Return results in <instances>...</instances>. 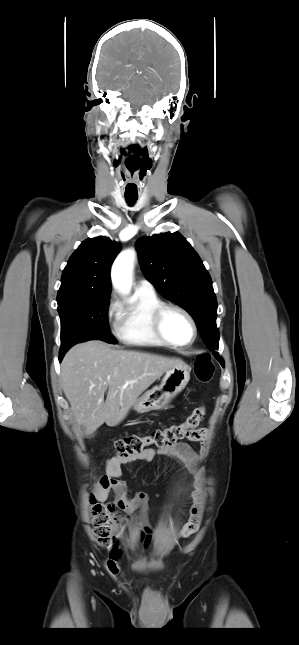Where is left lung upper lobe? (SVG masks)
<instances>
[{"label":"left lung upper lobe","instance_id":"left-lung-upper-lobe-1","mask_svg":"<svg viewBox=\"0 0 299 645\" xmlns=\"http://www.w3.org/2000/svg\"><path fill=\"white\" fill-rule=\"evenodd\" d=\"M142 271L158 292L194 318L209 350L218 349L217 300L200 257L178 232L142 237L136 243ZM224 367L223 359L213 352Z\"/></svg>","mask_w":299,"mask_h":645}]
</instances>
